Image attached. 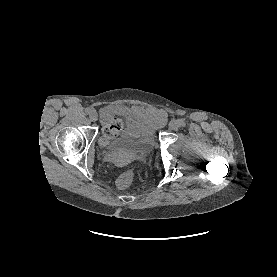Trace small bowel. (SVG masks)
Returning a JSON list of instances; mask_svg holds the SVG:
<instances>
[{"label": "small bowel", "mask_w": 277, "mask_h": 277, "mask_svg": "<svg viewBox=\"0 0 277 277\" xmlns=\"http://www.w3.org/2000/svg\"><path fill=\"white\" fill-rule=\"evenodd\" d=\"M136 111L141 115H151L157 121V123H163L165 120V113L160 109H145V108H136Z\"/></svg>", "instance_id": "c3829d8e"}]
</instances>
